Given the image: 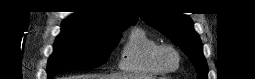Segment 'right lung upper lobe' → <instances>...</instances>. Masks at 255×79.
I'll list each match as a JSON object with an SVG mask.
<instances>
[{
    "label": "right lung upper lobe",
    "instance_id": "obj_1",
    "mask_svg": "<svg viewBox=\"0 0 255 79\" xmlns=\"http://www.w3.org/2000/svg\"><path fill=\"white\" fill-rule=\"evenodd\" d=\"M138 20L136 12H104L94 6H82L65 19L62 29L113 34Z\"/></svg>",
    "mask_w": 255,
    "mask_h": 79
}]
</instances>
